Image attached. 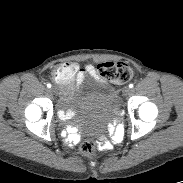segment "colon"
<instances>
[{
  "instance_id": "obj_1",
  "label": "colon",
  "mask_w": 183,
  "mask_h": 183,
  "mask_svg": "<svg viewBox=\"0 0 183 183\" xmlns=\"http://www.w3.org/2000/svg\"><path fill=\"white\" fill-rule=\"evenodd\" d=\"M97 70L102 78L115 83H125L134 76L132 67L125 62H104L98 65ZM54 78L60 85L70 81V75L58 71L55 73ZM95 148V142L92 139H87L81 145V152L83 155L91 157L95 153Z\"/></svg>"
}]
</instances>
